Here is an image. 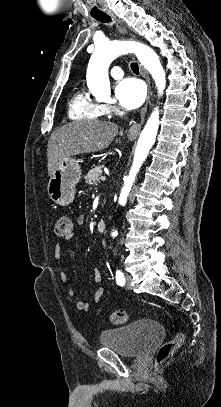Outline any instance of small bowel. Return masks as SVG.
<instances>
[{"instance_id": "obj_1", "label": "small bowel", "mask_w": 221, "mask_h": 407, "mask_svg": "<svg viewBox=\"0 0 221 407\" xmlns=\"http://www.w3.org/2000/svg\"><path fill=\"white\" fill-rule=\"evenodd\" d=\"M76 223H77V226H79V227L85 226V224H86L85 216L79 215ZM71 236H72V234L70 233L68 236L65 237V239H69ZM61 253H62V246L60 243H57L54 247V256L56 258H59L61 256ZM60 276H61L62 281L64 283H66L67 279H66L65 274L62 272L60 274ZM93 280L98 285L97 289L95 291V294H94V303H98L104 293V287L102 285H100L101 271L99 269H95V271L93 273ZM67 294H68V297H70V298L76 297V292L72 289L68 290ZM76 308L79 311H88L90 309V304H89V302H87L85 300H77Z\"/></svg>"}]
</instances>
